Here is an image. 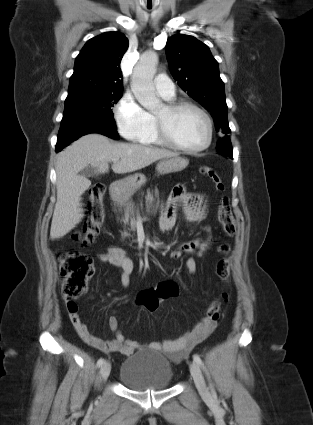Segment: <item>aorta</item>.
Returning a JSON list of instances; mask_svg holds the SVG:
<instances>
[{
  "label": "aorta",
  "instance_id": "762f6f07",
  "mask_svg": "<svg viewBox=\"0 0 313 425\" xmlns=\"http://www.w3.org/2000/svg\"><path fill=\"white\" fill-rule=\"evenodd\" d=\"M157 64V54L148 51L141 56L132 75L131 89L137 101L151 112L155 111L160 106V100L156 97L153 84Z\"/></svg>",
  "mask_w": 313,
  "mask_h": 425
}]
</instances>
